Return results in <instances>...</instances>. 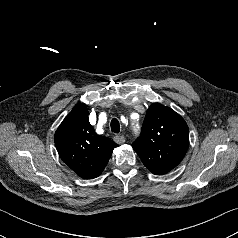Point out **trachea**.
<instances>
[{
	"label": "trachea",
	"mask_w": 238,
	"mask_h": 238,
	"mask_svg": "<svg viewBox=\"0 0 238 238\" xmlns=\"http://www.w3.org/2000/svg\"><path fill=\"white\" fill-rule=\"evenodd\" d=\"M111 131L114 133H119L120 132V124L119 121L116 118H113L111 120Z\"/></svg>",
	"instance_id": "trachea-1"
}]
</instances>
